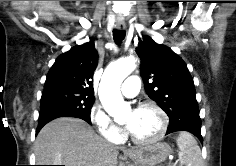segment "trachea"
Segmentation results:
<instances>
[{"instance_id":"1","label":"trachea","mask_w":236,"mask_h":166,"mask_svg":"<svg viewBox=\"0 0 236 166\" xmlns=\"http://www.w3.org/2000/svg\"><path fill=\"white\" fill-rule=\"evenodd\" d=\"M125 37V32L123 30H113V38L117 45H120Z\"/></svg>"}]
</instances>
